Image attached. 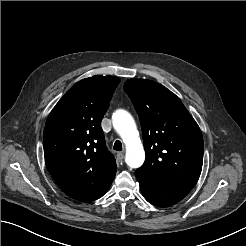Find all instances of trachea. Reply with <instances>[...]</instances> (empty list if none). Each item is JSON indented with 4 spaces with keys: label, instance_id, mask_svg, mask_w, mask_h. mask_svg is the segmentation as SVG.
<instances>
[{
    "label": "trachea",
    "instance_id": "1",
    "mask_svg": "<svg viewBox=\"0 0 246 246\" xmlns=\"http://www.w3.org/2000/svg\"><path fill=\"white\" fill-rule=\"evenodd\" d=\"M114 150L116 151H121L122 150V143L117 140L115 143H114V147H113Z\"/></svg>",
    "mask_w": 246,
    "mask_h": 246
}]
</instances>
